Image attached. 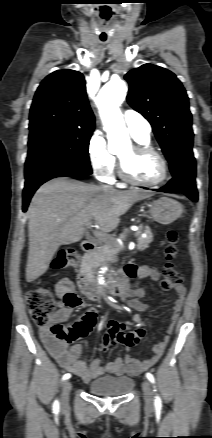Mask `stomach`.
Returning <instances> with one entry per match:
<instances>
[{
  "label": "stomach",
  "mask_w": 212,
  "mask_h": 438,
  "mask_svg": "<svg viewBox=\"0 0 212 438\" xmlns=\"http://www.w3.org/2000/svg\"><path fill=\"white\" fill-rule=\"evenodd\" d=\"M182 211L183 207L179 202L171 198L161 197L153 201L150 213L156 222L168 225L179 218Z\"/></svg>",
  "instance_id": "obj_1"
}]
</instances>
